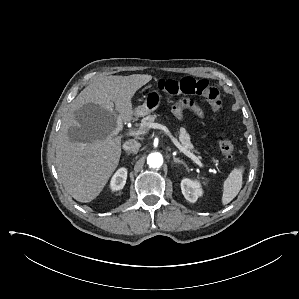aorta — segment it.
Returning a JSON list of instances; mask_svg holds the SVG:
<instances>
[{
	"label": "aorta",
	"mask_w": 299,
	"mask_h": 299,
	"mask_svg": "<svg viewBox=\"0 0 299 299\" xmlns=\"http://www.w3.org/2000/svg\"><path fill=\"white\" fill-rule=\"evenodd\" d=\"M147 164L152 168H159L163 164V157L159 152L150 153L147 157Z\"/></svg>",
	"instance_id": "aorta-1"
}]
</instances>
